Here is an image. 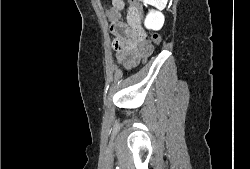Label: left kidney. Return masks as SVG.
<instances>
[{
	"label": "left kidney",
	"mask_w": 250,
	"mask_h": 169,
	"mask_svg": "<svg viewBox=\"0 0 250 169\" xmlns=\"http://www.w3.org/2000/svg\"><path fill=\"white\" fill-rule=\"evenodd\" d=\"M165 20L164 14L159 12V10H150L149 14H147L145 18V26L146 28H153V30H158L163 26Z\"/></svg>",
	"instance_id": "1"
}]
</instances>
